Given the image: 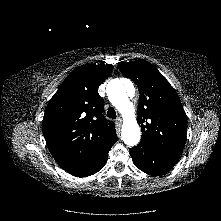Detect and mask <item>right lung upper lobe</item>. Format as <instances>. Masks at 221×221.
<instances>
[{
  "mask_svg": "<svg viewBox=\"0 0 221 221\" xmlns=\"http://www.w3.org/2000/svg\"><path fill=\"white\" fill-rule=\"evenodd\" d=\"M113 66L87 64L73 70L48 102L42 127L47 146L65 170L85 164L117 140L114 123L103 116L98 87Z\"/></svg>",
  "mask_w": 221,
  "mask_h": 221,
  "instance_id": "1",
  "label": "right lung upper lobe"
}]
</instances>
